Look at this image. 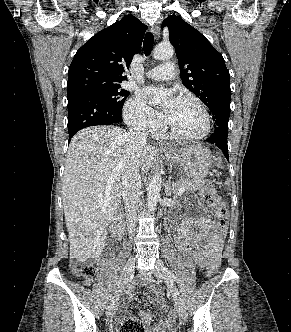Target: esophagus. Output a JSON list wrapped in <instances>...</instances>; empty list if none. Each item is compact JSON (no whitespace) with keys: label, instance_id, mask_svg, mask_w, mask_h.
<instances>
[{"label":"esophagus","instance_id":"34e87169","mask_svg":"<svg viewBox=\"0 0 291 332\" xmlns=\"http://www.w3.org/2000/svg\"><path fill=\"white\" fill-rule=\"evenodd\" d=\"M151 32L153 33L155 39H158L160 36V28L158 25H155L151 28ZM162 148L164 147L163 144L160 145Z\"/></svg>","mask_w":291,"mask_h":332}]
</instances>
